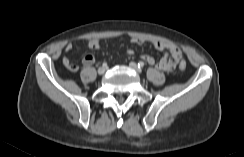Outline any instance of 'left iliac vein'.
I'll return each mask as SVG.
<instances>
[{
	"label": "left iliac vein",
	"mask_w": 244,
	"mask_h": 157,
	"mask_svg": "<svg viewBox=\"0 0 244 157\" xmlns=\"http://www.w3.org/2000/svg\"><path fill=\"white\" fill-rule=\"evenodd\" d=\"M129 66L133 69V70H135L137 73H141V69L138 67V65L135 63V62H130L129 63Z\"/></svg>",
	"instance_id": "left-iliac-vein-1"
}]
</instances>
